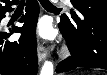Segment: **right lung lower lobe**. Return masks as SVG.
Wrapping results in <instances>:
<instances>
[{
  "instance_id": "right-lung-lower-lobe-1",
  "label": "right lung lower lobe",
  "mask_w": 107,
  "mask_h": 75,
  "mask_svg": "<svg viewBox=\"0 0 107 75\" xmlns=\"http://www.w3.org/2000/svg\"><path fill=\"white\" fill-rule=\"evenodd\" d=\"M18 1H10L0 9V21L5 13L12 11L11 6ZM39 15L37 0H27L25 15L20 19L23 27H15L10 32L0 28V74L2 75H36L37 74V47L36 23ZM21 32L19 40H6L13 33Z\"/></svg>"
}]
</instances>
